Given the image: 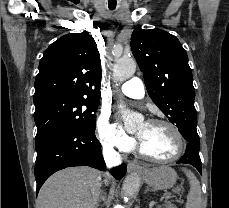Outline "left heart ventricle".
<instances>
[{
    "label": "left heart ventricle",
    "mask_w": 229,
    "mask_h": 208,
    "mask_svg": "<svg viewBox=\"0 0 229 208\" xmlns=\"http://www.w3.org/2000/svg\"><path fill=\"white\" fill-rule=\"evenodd\" d=\"M170 130L173 129L163 124L141 123L135 132L144 142L145 151L150 152V157H160V160H169V157L176 155L183 147H177L176 143L172 142Z\"/></svg>",
    "instance_id": "b2bd125f"
}]
</instances>
